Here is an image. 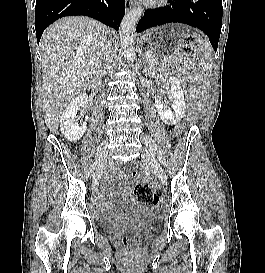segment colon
<instances>
[{
    "mask_svg": "<svg viewBox=\"0 0 265 273\" xmlns=\"http://www.w3.org/2000/svg\"><path fill=\"white\" fill-rule=\"evenodd\" d=\"M193 41L192 37L186 38L184 52L188 55L194 52ZM129 175L132 178L138 177L136 170H130ZM134 194L139 202L149 206L156 205L160 200V191L148 182L137 183L134 187ZM143 239L144 234L142 232L125 234L122 236V243L125 246H138L142 243Z\"/></svg>",
    "mask_w": 265,
    "mask_h": 273,
    "instance_id": "1",
    "label": "colon"
}]
</instances>
